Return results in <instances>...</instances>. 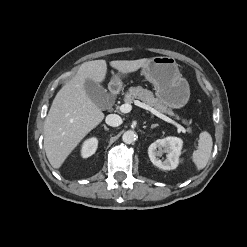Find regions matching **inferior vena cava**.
I'll list each match as a JSON object with an SVG mask.
<instances>
[{
    "mask_svg": "<svg viewBox=\"0 0 247 247\" xmlns=\"http://www.w3.org/2000/svg\"><path fill=\"white\" fill-rule=\"evenodd\" d=\"M106 124L112 127H117L122 124V119L119 115L117 114H109L106 117Z\"/></svg>",
    "mask_w": 247,
    "mask_h": 247,
    "instance_id": "1",
    "label": "inferior vena cava"
}]
</instances>
